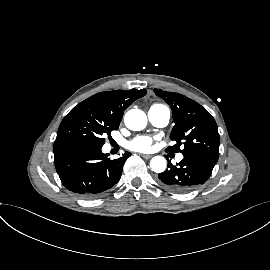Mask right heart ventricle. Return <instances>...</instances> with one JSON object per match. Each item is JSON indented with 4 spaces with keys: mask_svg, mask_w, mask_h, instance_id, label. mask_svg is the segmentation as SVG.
I'll use <instances>...</instances> for the list:
<instances>
[{
    "mask_svg": "<svg viewBox=\"0 0 270 270\" xmlns=\"http://www.w3.org/2000/svg\"><path fill=\"white\" fill-rule=\"evenodd\" d=\"M153 106H155V107H164V106H162V105H153Z\"/></svg>",
    "mask_w": 270,
    "mask_h": 270,
    "instance_id": "1",
    "label": "right heart ventricle"
}]
</instances>
